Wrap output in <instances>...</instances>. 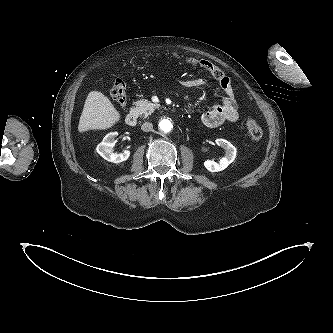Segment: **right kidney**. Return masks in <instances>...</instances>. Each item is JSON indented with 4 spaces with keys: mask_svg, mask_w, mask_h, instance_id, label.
<instances>
[{
    "mask_svg": "<svg viewBox=\"0 0 333 333\" xmlns=\"http://www.w3.org/2000/svg\"><path fill=\"white\" fill-rule=\"evenodd\" d=\"M117 132L108 133L100 144L97 145V153L102 156L105 160L113 163H120L126 161L130 156V151L125 150L123 153L117 154L112 153L111 149L116 143Z\"/></svg>",
    "mask_w": 333,
    "mask_h": 333,
    "instance_id": "right-kidney-1",
    "label": "right kidney"
}]
</instances>
